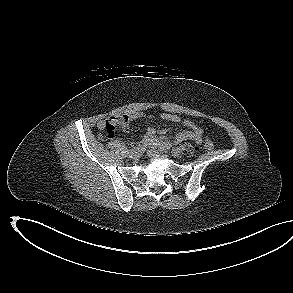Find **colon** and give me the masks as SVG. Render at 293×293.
Segmentation results:
<instances>
[{"mask_svg": "<svg viewBox=\"0 0 293 293\" xmlns=\"http://www.w3.org/2000/svg\"><path fill=\"white\" fill-rule=\"evenodd\" d=\"M117 124H118V122L115 121V120H108V122L106 124V127H105L106 136L108 138H112L113 137V135H114V129H115V126ZM170 147H171V145H164V146L160 147V150L161 151H165V150H168ZM204 147L207 150H212L213 147H214L212 140L209 139V138H205V140H204Z\"/></svg>", "mask_w": 293, "mask_h": 293, "instance_id": "colon-1", "label": "colon"}]
</instances>
